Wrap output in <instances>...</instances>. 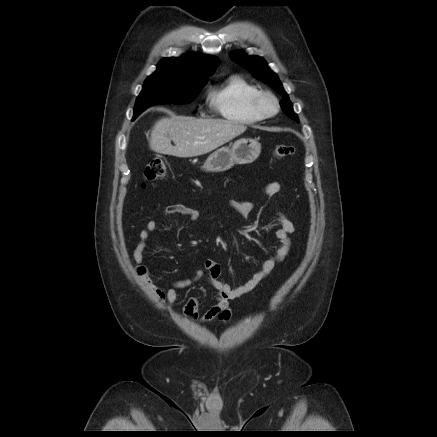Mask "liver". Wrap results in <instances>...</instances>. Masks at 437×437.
Returning a JSON list of instances; mask_svg holds the SVG:
<instances>
[{
    "label": "liver",
    "mask_w": 437,
    "mask_h": 437,
    "mask_svg": "<svg viewBox=\"0 0 437 437\" xmlns=\"http://www.w3.org/2000/svg\"><path fill=\"white\" fill-rule=\"evenodd\" d=\"M246 129L243 124L221 119L162 118L153 126L150 148L176 157L200 156L231 141Z\"/></svg>",
    "instance_id": "1"
}]
</instances>
